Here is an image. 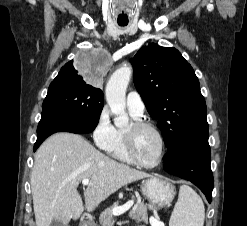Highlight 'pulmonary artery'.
Segmentation results:
<instances>
[{
	"instance_id": "pulmonary-artery-1",
	"label": "pulmonary artery",
	"mask_w": 247,
	"mask_h": 226,
	"mask_svg": "<svg viewBox=\"0 0 247 226\" xmlns=\"http://www.w3.org/2000/svg\"><path fill=\"white\" fill-rule=\"evenodd\" d=\"M126 104L129 111H131L135 115L141 116L143 114L145 105L140 94L137 91H130L127 94Z\"/></svg>"
}]
</instances>
